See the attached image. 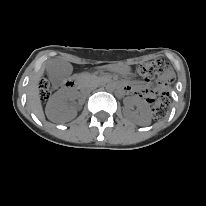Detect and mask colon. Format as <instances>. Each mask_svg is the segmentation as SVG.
<instances>
[{"label": "colon", "instance_id": "5ec220e1", "mask_svg": "<svg viewBox=\"0 0 206 206\" xmlns=\"http://www.w3.org/2000/svg\"><path fill=\"white\" fill-rule=\"evenodd\" d=\"M138 73L146 79L162 78L165 83L169 82L172 77L170 68L167 62L162 59H157L141 65L138 68ZM51 93V86L47 79L43 78L40 81V97L47 99ZM169 108L168 100L160 98L156 100L152 107V114L156 120L162 119Z\"/></svg>", "mask_w": 206, "mask_h": 206}]
</instances>
